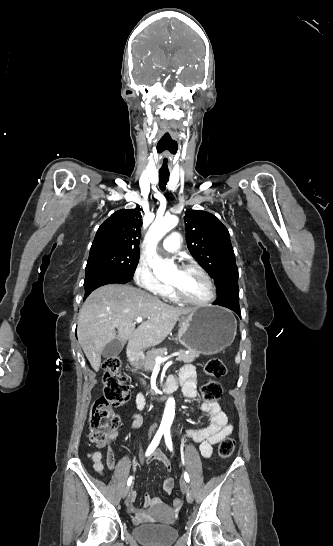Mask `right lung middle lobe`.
<instances>
[{"label":"right lung middle lobe","instance_id":"right-lung-middle-lobe-1","mask_svg":"<svg viewBox=\"0 0 333 546\" xmlns=\"http://www.w3.org/2000/svg\"><path fill=\"white\" fill-rule=\"evenodd\" d=\"M138 261V252L104 248L90 251L86 271L91 269H104L133 278Z\"/></svg>","mask_w":333,"mask_h":546}]
</instances>
